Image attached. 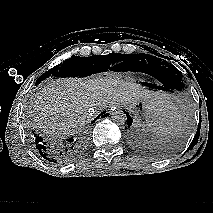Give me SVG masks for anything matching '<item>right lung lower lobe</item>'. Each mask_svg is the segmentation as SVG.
Listing matches in <instances>:
<instances>
[{
	"instance_id": "1",
	"label": "right lung lower lobe",
	"mask_w": 213,
	"mask_h": 213,
	"mask_svg": "<svg viewBox=\"0 0 213 213\" xmlns=\"http://www.w3.org/2000/svg\"><path fill=\"white\" fill-rule=\"evenodd\" d=\"M41 81L42 79L38 78L35 85H38ZM107 115L108 114L103 111L97 118H102ZM97 118L95 120H97ZM95 120L92 123H94ZM32 142L44 159L58 164H64L79 156L85 145L84 138L70 136L65 140L57 141L47 139L38 132L32 133Z\"/></svg>"
}]
</instances>
